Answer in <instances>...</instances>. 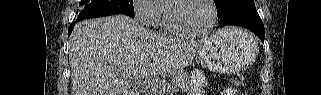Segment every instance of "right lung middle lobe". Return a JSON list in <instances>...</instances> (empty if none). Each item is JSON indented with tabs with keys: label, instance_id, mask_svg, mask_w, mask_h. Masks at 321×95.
Listing matches in <instances>:
<instances>
[{
	"label": "right lung middle lobe",
	"instance_id": "dd1d6c3e",
	"mask_svg": "<svg viewBox=\"0 0 321 95\" xmlns=\"http://www.w3.org/2000/svg\"><path fill=\"white\" fill-rule=\"evenodd\" d=\"M76 21L124 14L134 18L133 0H81Z\"/></svg>",
	"mask_w": 321,
	"mask_h": 95
}]
</instances>
